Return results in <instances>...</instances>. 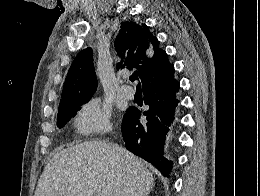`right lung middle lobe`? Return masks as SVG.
<instances>
[{
  "instance_id": "1",
  "label": "right lung middle lobe",
  "mask_w": 260,
  "mask_h": 196,
  "mask_svg": "<svg viewBox=\"0 0 260 196\" xmlns=\"http://www.w3.org/2000/svg\"><path fill=\"white\" fill-rule=\"evenodd\" d=\"M91 97L92 96H88L78 99L70 103L64 109L58 110L57 125L59 127L64 126L70 120V118L75 115V111L79 110V107L86 103Z\"/></svg>"
}]
</instances>
